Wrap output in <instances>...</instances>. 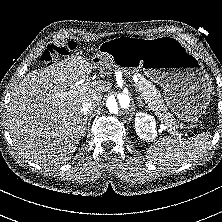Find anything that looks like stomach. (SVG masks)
Here are the masks:
<instances>
[{"instance_id":"stomach-1","label":"stomach","mask_w":222,"mask_h":222,"mask_svg":"<svg viewBox=\"0 0 222 222\" xmlns=\"http://www.w3.org/2000/svg\"><path fill=\"white\" fill-rule=\"evenodd\" d=\"M92 62L126 74L142 68L162 87L168 107L185 122H196L211 101L210 76L186 45L171 36L110 39L100 44Z\"/></svg>"}]
</instances>
